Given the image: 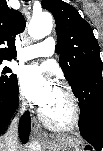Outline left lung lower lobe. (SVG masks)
Instances as JSON below:
<instances>
[{
	"instance_id": "1",
	"label": "left lung lower lobe",
	"mask_w": 103,
	"mask_h": 151,
	"mask_svg": "<svg viewBox=\"0 0 103 151\" xmlns=\"http://www.w3.org/2000/svg\"><path fill=\"white\" fill-rule=\"evenodd\" d=\"M79 99V129L96 151H101L103 143V74L102 67H90L87 75L72 86Z\"/></svg>"
}]
</instances>
